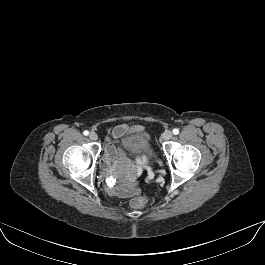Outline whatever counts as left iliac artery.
Here are the masks:
<instances>
[{
  "mask_svg": "<svg viewBox=\"0 0 265 265\" xmlns=\"http://www.w3.org/2000/svg\"><path fill=\"white\" fill-rule=\"evenodd\" d=\"M173 134L174 135H178L179 134V130L177 128L173 129Z\"/></svg>",
  "mask_w": 265,
  "mask_h": 265,
  "instance_id": "left-iliac-artery-1",
  "label": "left iliac artery"
}]
</instances>
